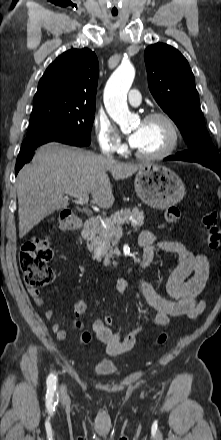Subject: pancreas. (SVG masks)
Masks as SVG:
<instances>
[{
    "label": "pancreas",
    "mask_w": 221,
    "mask_h": 440,
    "mask_svg": "<svg viewBox=\"0 0 221 440\" xmlns=\"http://www.w3.org/2000/svg\"><path fill=\"white\" fill-rule=\"evenodd\" d=\"M130 217L132 219H130ZM103 221L104 225L98 222L95 231L89 237L91 241L90 246L100 245L104 248L107 255L111 256L113 254L111 243H113V237L117 227L124 223H131L134 228L142 226L144 224V212L140 211L138 207L132 209L125 208L115 212Z\"/></svg>",
    "instance_id": "pancreas-1"
}]
</instances>
